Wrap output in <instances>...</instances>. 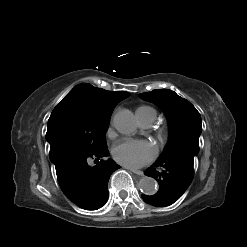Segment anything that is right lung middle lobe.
<instances>
[{"label":"right lung middle lobe","instance_id":"obj_1","mask_svg":"<svg viewBox=\"0 0 247 247\" xmlns=\"http://www.w3.org/2000/svg\"><path fill=\"white\" fill-rule=\"evenodd\" d=\"M112 112L93 111L81 98L66 95L48 120L46 139L52 144H67L87 152L106 149L105 132Z\"/></svg>","mask_w":247,"mask_h":247}]
</instances>
